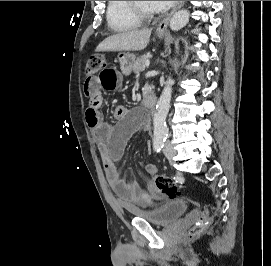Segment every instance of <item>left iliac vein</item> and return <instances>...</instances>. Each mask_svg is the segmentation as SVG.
Wrapping results in <instances>:
<instances>
[{"label": "left iliac vein", "instance_id": "left-iliac-vein-1", "mask_svg": "<svg viewBox=\"0 0 271 266\" xmlns=\"http://www.w3.org/2000/svg\"><path fill=\"white\" fill-rule=\"evenodd\" d=\"M164 154L169 160V162L173 163V158L176 155V150L174 149L173 145L170 143H167L164 148Z\"/></svg>", "mask_w": 271, "mask_h": 266}]
</instances>
